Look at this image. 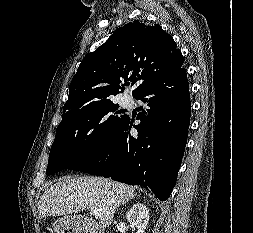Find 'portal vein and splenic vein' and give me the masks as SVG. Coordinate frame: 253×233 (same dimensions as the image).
<instances>
[{"instance_id": "1", "label": "portal vein and splenic vein", "mask_w": 253, "mask_h": 233, "mask_svg": "<svg viewBox=\"0 0 253 233\" xmlns=\"http://www.w3.org/2000/svg\"><path fill=\"white\" fill-rule=\"evenodd\" d=\"M90 212H91V214H94L95 216L99 215V210L97 208H95V207H92L90 209Z\"/></svg>"}]
</instances>
